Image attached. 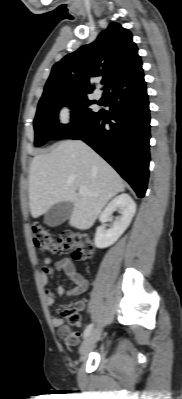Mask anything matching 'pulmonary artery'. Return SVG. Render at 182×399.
Segmentation results:
<instances>
[{
  "mask_svg": "<svg viewBox=\"0 0 182 399\" xmlns=\"http://www.w3.org/2000/svg\"><path fill=\"white\" fill-rule=\"evenodd\" d=\"M94 94H95V97L98 99L102 97V91L99 88H97L95 90Z\"/></svg>",
  "mask_w": 182,
  "mask_h": 399,
  "instance_id": "obj_1",
  "label": "pulmonary artery"
}]
</instances>
